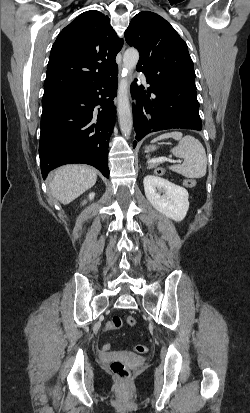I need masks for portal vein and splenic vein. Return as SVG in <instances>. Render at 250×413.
Masks as SVG:
<instances>
[{
    "label": "portal vein and splenic vein",
    "mask_w": 250,
    "mask_h": 413,
    "mask_svg": "<svg viewBox=\"0 0 250 413\" xmlns=\"http://www.w3.org/2000/svg\"><path fill=\"white\" fill-rule=\"evenodd\" d=\"M164 161H169V162H173V163L179 162V161L171 160V159L165 158V157L156 158L152 162H157L158 163V162H164Z\"/></svg>",
    "instance_id": "obj_1"
}]
</instances>
